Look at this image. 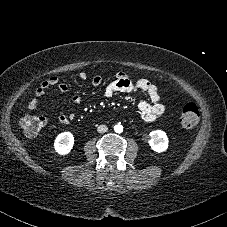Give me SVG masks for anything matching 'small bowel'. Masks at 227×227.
I'll list each match as a JSON object with an SVG mask.
<instances>
[{"instance_id":"obj_1","label":"small bowel","mask_w":227,"mask_h":227,"mask_svg":"<svg viewBox=\"0 0 227 227\" xmlns=\"http://www.w3.org/2000/svg\"><path fill=\"white\" fill-rule=\"evenodd\" d=\"M86 78L87 75L84 72L78 74V79L80 81H84ZM91 84L93 87H100L102 84V78L99 75L94 76L91 80ZM51 87H56L61 92H68L69 90L67 84L61 83L57 76H52L44 80L40 86L37 87L34 97L28 103V108L30 110L37 109L40 100ZM120 92L135 93L138 95L145 93L147 95L148 99H140L138 103V109L145 123L155 121L164 113V106L161 103L157 87L146 79L132 81L126 74L117 73L115 79L105 86L104 95L107 98H111ZM72 101L75 104H79L81 102V96L74 94L72 96ZM74 120V113L60 114L58 116V121L63 125H69L73 123Z\"/></svg>"}]
</instances>
